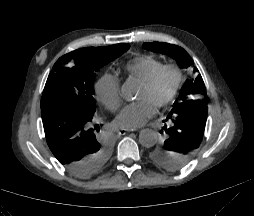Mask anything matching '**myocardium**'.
I'll use <instances>...</instances> for the list:
<instances>
[{
    "instance_id": "myocardium-1",
    "label": "myocardium",
    "mask_w": 254,
    "mask_h": 216,
    "mask_svg": "<svg viewBox=\"0 0 254 216\" xmlns=\"http://www.w3.org/2000/svg\"><path fill=\"white\" fill-rule=\"evenodd\" d=\"M170 72L173 75V84L169 91V93L166 95L165 98H163L161 101H159L156 106L161 108L167 106L169 103L172 102V100L175 98L180 84L182 80V71L180 67L173 63H167L161 65L158 69H156L145 81L142 82L141 85H143L145 88H152L160 76L165 73Z\"/></svg>"
}]
</instances>
